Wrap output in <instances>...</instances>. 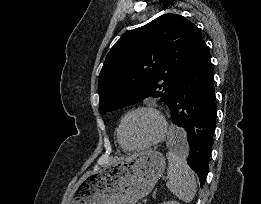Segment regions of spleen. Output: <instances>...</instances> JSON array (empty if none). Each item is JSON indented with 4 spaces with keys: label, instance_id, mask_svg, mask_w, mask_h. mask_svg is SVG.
Returning <instances> with one entry per match:
<instances>
[{
    "label": "spleen",
    "instance_id": "spleen-1",
    "mask_svg": "<svg viewBox=\"0 0 261 204\" xmlns=\"http://www.w3.org/2000/svg\"><path fill=\"white\" fill-rule=\"evenodd\" d=\"M173 131H175V128H173ZM167 159L169 164L167 188L185 203H190L196 194L197 188L193 171L175 151H169Z\"/></svg>",
    "mask_w": 261,
    "mask_h": 204
}]
</instances>
